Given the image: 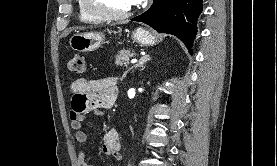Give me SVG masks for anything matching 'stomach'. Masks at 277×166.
<instances>
[{"label": "stomach", "mask_w": 277, "mask_h": 166, "mask_svg": "<svg viewBox=\"0 0 277 166\" xmlns=\"http://www.w3.org/2000/svg\"><path fill=\"white\" fill-rule=\"evenodd\" d=\"M132 39L142 46H153L157 43V37L144 28H137L132 33ZM105 41L102 32L76 33L69 41L70 47L78 52H88L99 48Z\"/></svg>", "instance_id": "obj_1"}]
</instances>
